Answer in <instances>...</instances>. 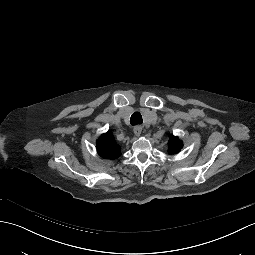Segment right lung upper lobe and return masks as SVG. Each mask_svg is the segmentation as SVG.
Here are the masks:
<instances>
[{
    "mask_svg": "<svg viewBox=\"0 0 255 255\" xmlns=\"http://www.w3.org/2000/svg\"><path fill=\"white\" fill-rule=\"evenodd\" d=\"M97 151L103 158L115 159L121 155L120 147L116 143L111 131L102 134L97 140Z\"/></svg>",
    "mask_w": 255,
    "mask_h": 255,
    "instance_id": "cb5924a9",
    "label": "right lung upper lobe"
}]
</instances>
